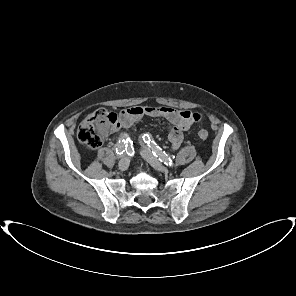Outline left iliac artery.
<instances>
[{
	"label": "left iliac artery",
	"mask_w": 296,
	"mask_h": 296,
	"mask_svg": "<svg viewBox=\"0 0 296 296\" xmlns=\"http://www.w3.org/2000/svg\"><path fill=\"white\" fill-rule=\"evenodd\" d=\"M142 138L144 143L147 144L148 148L154 156L158 157L159 160L167 166L173 165V162L171 161L170 157L164 151H162V149L159 146H157V144L150 138L148 134H144Z\"/></svg>",
	"instance_id": "obj_1"
}]
</instances>
